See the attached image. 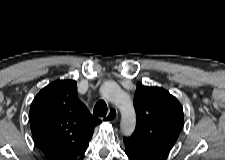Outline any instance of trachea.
I'll list each match as a JSON object with an SVG mask.
<instances>
[{
  "instance_id": "obj_1",
  "label": "trachea",
  "mask_w": 225,
  "mask_h": 160,
  "mask_svg": "<svg viewBox=\"0 0 225 160\" xmlns=\"http://www.w3.org/2000/svg\"><path fill=\"white\" fill-rule=\"evenodd\" d=\"M93 113L95 116H99V117L106 116L107 105H106L105 101H103V100L98 101L94 106Z\"/></svg>"
}]
</instances>
